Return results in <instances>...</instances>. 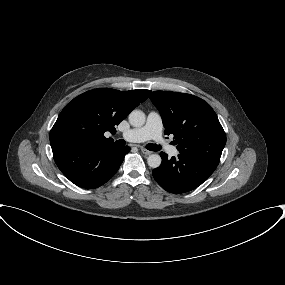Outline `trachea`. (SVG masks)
I'll return each mask as SVG.
<instances>
[{
  "mask_svg": "<svg viewBox=\"0 0 285 285\" xmlns=\"http://www.w3.org/2000/svg\"><path fill=\"white\" fill-rule=\"evenodd\" d=\"M116 143H117L118 146H124L125 145V141L122 140V139L118 140ZM146 148L148 150H151V151H159L161 149V146L157 145V144L149 143V144L146 145Z\"/></svg>",
  "mask_w": 285,
  "mask_h": 285,
  "instance_id": "obj_1",
  "label": "trachea"
}]
</instances>
